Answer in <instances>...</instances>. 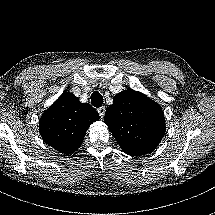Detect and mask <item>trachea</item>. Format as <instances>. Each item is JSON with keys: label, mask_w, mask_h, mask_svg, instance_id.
Segmentation results:
<instances>
[{"label": "trachea", "mask_w": 215, "mask_h": 215, "mask_svg": "<svg viewBox=\"0 0 215 215\" xmlns=\"http://www.w3.org/2000/svg\"><path fill=\"white\" fill-rule=\"evenodd\" d=\"M91 103L94 107H101L103 104L102 95L98 91H94L91 95Z\"/></svg>", "instance_id": "obj_1"}]
</instances>
